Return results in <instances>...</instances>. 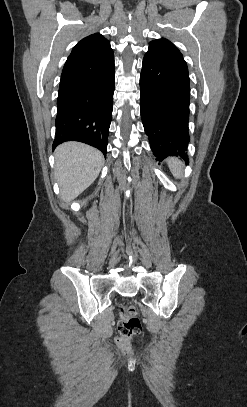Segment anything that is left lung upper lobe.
Returning <instances> with one entry per match:
<instances>
[{
  "mask_svg": "<svg viewBox=\"0 0 247 407\" xmlns=\"http://www.w3.org/2000/svg\"><path fill=\"white\" fill-rule=\"evenodd\" d=\"M148 51H154L167 57L184 60L182 54L176 48V46L167 39L162 38L151 41L149 43Z\"/></svg>",
  "mask_w": 247,
  "mask_h": 407,
  "instance_id": "left-lung-upper-lobe-1",
  "label": "left lung upper lobe"
}]
</instances>
